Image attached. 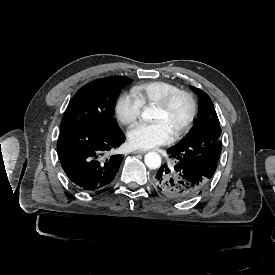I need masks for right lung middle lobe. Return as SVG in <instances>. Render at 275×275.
<instances>
[{
    "label": "right lung middle lobe",
    "mask_w": 275,
    "mask_h": 275,
    "mask_svg": "<svg viewBox=\"0 0 275 275\" xmlns=\"http://www.w3.org/2000/svg\"><path fill=\"white\" fill-rule=\"evenodd\" d=\"M130 82V78L113 76L83 86L70 100L61 129L82 127L99 134L118 131L119 127L113 118L114 108L120 90Z\"/></svg>",
    "instance_id": "obj_1"
}]
</instances>
